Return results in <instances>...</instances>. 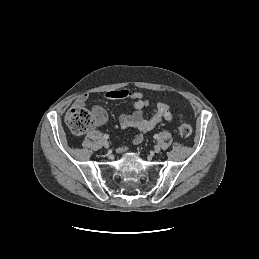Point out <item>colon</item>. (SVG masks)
I'll use <instances>...</instances> for the list:
<instances>
[{
	"label": "colon",
	"instance_id": "5ec220e1",
	"mask_svg": "<svg viewBox=\"0 0 259 259\" xmlns=\"http://www.w3.org/2000/svg\"><path fill=\"white\" fill-rule=\"evenodd\" d=\"M65 122L71 132L77 136L86 133L94 125V118L90 111L81 105L72 106L65 115ZM179 134L186 138L192 134V127L182 118L178 125Z\"/></svg>",
	"mask_w": 259,
	"mask_h": 259
}]
</instances>
